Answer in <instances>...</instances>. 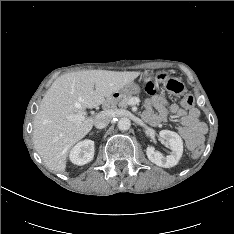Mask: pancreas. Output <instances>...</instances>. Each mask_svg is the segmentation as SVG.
I'll return each instance as SVG.
<instances>
[{"instance_id": "cf45deb5", "label": "pancreas", "mask_w": 234, "mask_h": 234, "mask_svg": "<svg viewBox=\"0 0 234 234\" xmlns=\"http://www.w3.org/2000/svg\"><path fill=\"white\" fill-rule=\"evenodd\" d=\"M131 98V95L122 96L119 100L112 103H108L107 108H116L117 106L121 108H126Z\"/></svg>"}]
</instances>
